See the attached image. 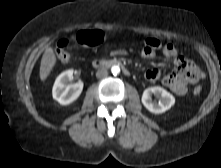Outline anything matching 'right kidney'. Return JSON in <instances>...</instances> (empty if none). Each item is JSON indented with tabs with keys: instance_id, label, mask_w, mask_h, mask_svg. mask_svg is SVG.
Segmentation results:
<instances>
[{
	"instance_id": "obj_1",
	"label": "right kidney",
	"mask_w": 221,
	"mask_h": 168,
	"mask_svg": "<svg viewBox=\"0 0 221 168\" xmlns=\"http://www.w3.org/2000/svg\"><path fill=\"white\" fill-rule=\"evenodd\" d=\"M71 79H73V70L69 69L61 73L54 83L52 95L60 105H68L74 102L82 93L83 83L79 81L75 84H69Z\"/></svg>"
}]
</instances>
